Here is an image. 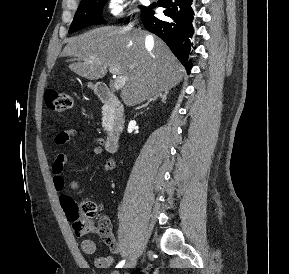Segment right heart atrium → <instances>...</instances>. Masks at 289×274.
Masks as SVG:
<instances>
[{"instance_id": "right-heart-atrium-1", "label": "right heart atrium", "mask_w": 289, "mask_h": 274, "mask_svg": "<svg viewBox=\"0 0 289 274\" xmlns=\"http://www.w3.org/2000/svg\"><path fill=\"white\" fill-rule=\"evenodd\" d=\"M105 8L110 16L119 18L130 12L131 5L126 0H107Z\"/></svg>"}]
</instances>
